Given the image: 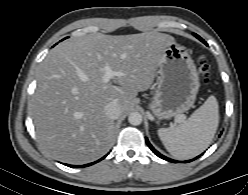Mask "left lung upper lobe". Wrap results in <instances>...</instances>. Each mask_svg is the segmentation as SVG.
<instances>
[{"instance_id":"left-lung-upper-lobe-1","label":"left lung upper lobe","mask_w":248,"mask_h":195,"mask_svg":"<svg viewBox=\"0 0 248 195\" xmlns=\"http://www.w3.org/2000/svg\"><path fill=\"white\" fill-rule=\"evenodd\" d=\"M194 36L197 37L199 40H201L203 43H205V41L200 36H198L197 34H194Z\"/></svg>"}]
</instances>
